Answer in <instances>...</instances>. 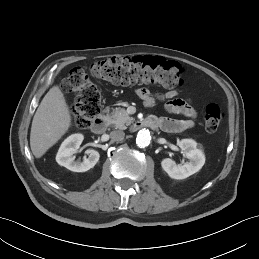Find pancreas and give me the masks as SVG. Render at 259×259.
<instances>
[{
	"label": "pancreas",
	"instance_id": "pancreas-1",
	"mask_svg": "<svg viewBox=\"0 0 259 259\" xmlns=\"http://www.w3.org/2000/svg\"><path fill=\"white\" fill-rule=\"evenodd\" d=\"M106 120L116 128L126 129L133 122V118L128 115L124 108H115L107 114Z\"/></svg>",
	"mask_w": 259,
	"mask_h": 259
}]
</instances>
